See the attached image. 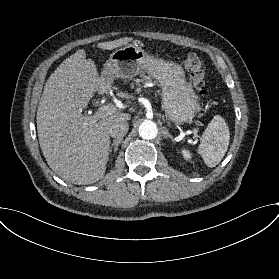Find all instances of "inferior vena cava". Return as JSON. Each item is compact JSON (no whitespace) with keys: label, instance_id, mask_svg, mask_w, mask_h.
<instances>
[{"label":"inferior vena cava","instance_id":"602c4592","mask_svg":"<svg viewBox=\"0 0 279 279\" xmlns=\"http://www.w3.org/2000/svg\"><path fill=\"white\" fill-rule=\"evenodd\" d=\"M128 130L129 125L127 121H121L111 125V127L108 130V133L111 137L115 139H120L127 134Z\"/></svg>","mask_w":279,"mask_h":279}]
</instances>
